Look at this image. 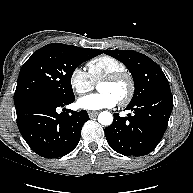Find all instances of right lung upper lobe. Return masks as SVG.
<instances>
[{"label":"right lung upper lobe","instance_id":"right-lung-upper-lobe-1","mask_svg":"<svg viewBox=\"0 0 193 193\" xmlns=\"http://www.w3.org/2000/svg\"><path fill=\"white\" fill-rule=\"evenodd\" d=\"M92 50H94L96 53H98V54H101L102 53V51H100V50H97V49H92Z\"/></svg>","mask_w":193,"mask_h":193}]
</instances>
